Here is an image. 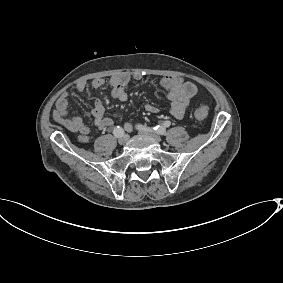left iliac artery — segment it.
<instances>
[{
  "label": "left iliac artery",
  "instance_id": "1",
  "mask_svg": "<svg viewBox=\"0 0 283 283\" xmlns=\"http://www.w3.org/2000/svg\"><path fill=\"white\" fill-rule=\"evenodd\" d=\"M170 125H171L170 121H165L163 126L158 125V126L154 127L153 129L146 127V126H143V125H138V129L144 130V131H149V132L154 131L157 134L163 135L166 132V128L169 127Z\"/></svg>",
  "mask_w": 283,
  "mask_h": 283
}]
</instances>
